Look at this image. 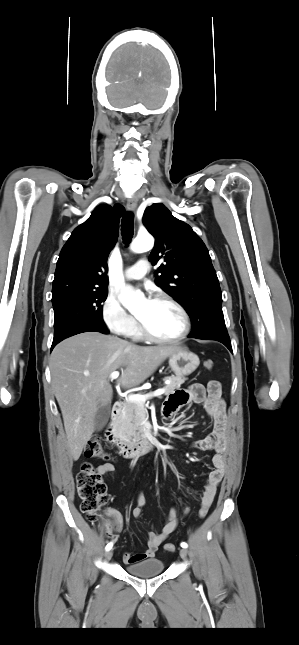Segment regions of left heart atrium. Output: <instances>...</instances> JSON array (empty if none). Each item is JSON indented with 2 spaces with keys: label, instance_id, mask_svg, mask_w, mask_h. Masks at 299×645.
Masks as SVG:
<instances>
[{
  "label": "left heart atrium",
  "instance_id": "39dd6f15",
  "mask_svg": "<svg viewBox=\"0 0 299 645\" xmlns=\"http://www.w3.org/2000/svg\"><path fill=\"white\" fill-rule=\"evenodd\" d=\"M146 302L150 304V303H152V302H153V300H152V299H148Z\"/></svg>",
  "mask_w": 299,
  "mask_h": 645
}]
</instances>
